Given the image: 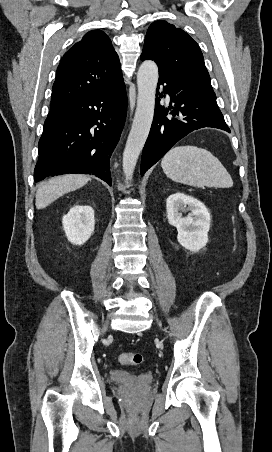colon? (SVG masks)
<instances>
[{
    "mask_svg": "<svg viewBox=\"0 0 272 452\" xmlns=\"http://www.w3.org/2000/svg\"><path fill=\"white\" fill-rule=\"evenodd\" d=\"M140 353H123L119 356V362L123 365L134 366L142 362Z\"/></svg>",
    "mask_w": 272,
    "mask_h": 452,
    "instance_id": "5ec220e1",
    "label": "colon"
}]
</instances>
